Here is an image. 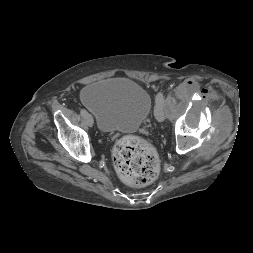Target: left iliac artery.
<instances>
[{"instance_id":"1","label":"left iliac artery","mask_w":253,"mask_h":253,"mask_svg":"<svg viewBox=\"0 0 253 253\" xmlns=\"http://www.w3.org/2000/svg\"><path fill=\"white\" fill-rule=\"evenodd\" d=\"M159 102L163 103L164 104V95L163 93L159 92L157 95H156V104H158Z\"/></svg>"}]
</instances>
